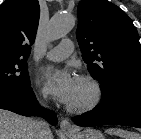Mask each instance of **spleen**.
Instances as JSON below:
<instances>
[{
	"instance_id": "1",
	"label": "spleen",
	"mask_w": 141,
	"mask_h": 139,
	"mask_svg": "<svg viewBox=\"0 0 141 139\" xmlns=\"http://www.w3.org/2000/svg\"><path fill=\"white\" fill-rule=\"evenodd\" d=\"M107 133L119 136L121 139H141V135L136 132H130L119 128L106 130Z\"/></svg>"
}]
</instances>
